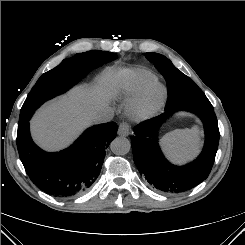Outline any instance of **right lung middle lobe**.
Masks as SVG:
<instances>
[{
  "mask_svg": "<svg viewBox=\"0 0 245 245\" xmlns=\"http://www.w3.org/2000/svg\"><path fill=\"white\" fill-rule=\"evenodd\" d=\"M88 57L102 59L104 63L115 60L117 54L106 51H88L64 59L57 67L44 73L28 94L20 111L19 124L28 121L34 111L45 101L62 94L77 83L81 77L82 65Z\"/></svg>",
  "mask_w": 245,
  "mask_h": 245,
  "instance_id": "dd1d6c3e",
  "label": "right lung middle lobe"
}]
</instances>
